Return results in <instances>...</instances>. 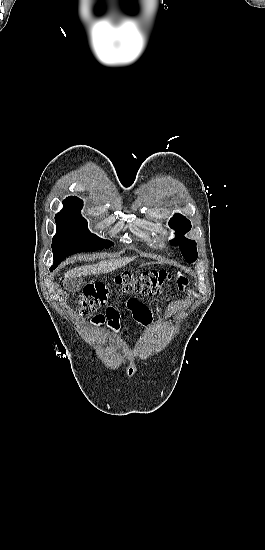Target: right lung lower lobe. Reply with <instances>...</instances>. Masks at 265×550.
<instances>
[{
  "label": "right lung lower lobe",
  "mask_w": 265,
  "mask_h": 550,
  "mask_svg": "<svg viewBox=\"0 0 265 550\" xmlns=\"http://www.w3.org/2000/svg\"><path fill=\"white\" fill-rule=\"evenodd\" d=\"M55 268H56V267H51V268H50V271L54 270Z\"/></svg>",
  "instance_id": "1"
}]
</instances>
